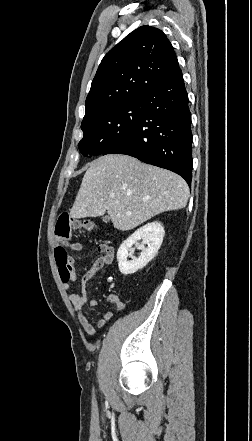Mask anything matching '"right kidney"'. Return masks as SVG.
Instances as JSON below:
<instances>
[{
  "label": "right kidney",
  "instance_id": "obj_1",
  "mask_svg": "<svg viewBox=\"0 0 252 441\" xmlns=\"http://www.w3.org/2000/svg\"><path fill=\"white\" fill-rule=\"evenodd\" d=\"M164 234V227L158 221L148 223L136 230L121 244L117 251L120 272L123 275H130L145 267L156 256ZM138 240H142V244L138 246L141 253L138 258H135L131 252L129 253V250ZM128 257H131L132 260L128 261Z\"/></svg>",
  "mask_w": 252,
  "mask_h": 441
}]
</instances>
